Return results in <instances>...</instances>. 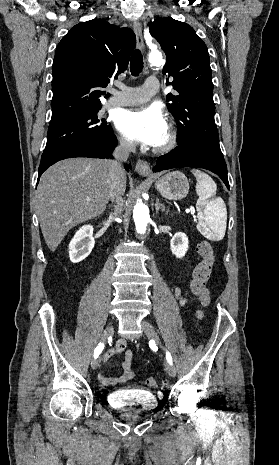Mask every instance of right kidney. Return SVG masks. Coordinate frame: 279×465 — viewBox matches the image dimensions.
Listing matches in <instances>:
<instances>
[{
	"label": "right kidney",
	"mask_w": 279,
	"mask_h": 465,
	"mask_svg": "<svg viewBox=\"0 0 279 465\" xmlns=\"http://www.w3.org/2000/svg\"><path fill=\"white\" fill-rule=\"evenodd\" d=\"M93 230L91 225H84L77 230L69 244L71 262L79 263L89 256L95 244Z\"/></svg>",
	"instance_id": "obj_1"
}]
</instances>
